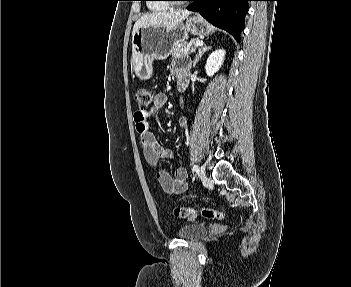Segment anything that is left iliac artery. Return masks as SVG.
<instances>
[{
  "label": "left iliac artery",
  "mask_w": 351,
  "mask_h": 287,
  "mask_svg": "<svg viewBox=\"0 0 351 287\" xmlns=\"http://www.w3.org/2000/svg\"><path fill=\"white\" fill-rule=\"evenodd\" d=\"M197 171H198V165H193L192 172H197Z\"/></svg>",
  "instance_id": "obj_1"
}]
</instances>
